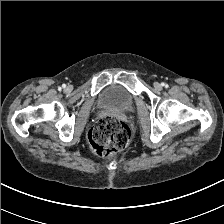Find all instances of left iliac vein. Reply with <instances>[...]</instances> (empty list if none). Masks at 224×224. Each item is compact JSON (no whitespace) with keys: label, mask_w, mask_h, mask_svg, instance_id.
I'll list each match as a JSON object with an SVG mask.
<instances>
[{"label":"left iliac vein","mask_w":224,"mask_h":224,"mask_svg":"<svg viewBox=\"0 0 224 224\" xmlns=\"http://www.w3.org/2000/svg\"><path fill=\"white\" fill-rule=\"evenodd\" d=\"M154 88H155L157 91H160V90H162V85H161L160 83H158V82H155V83H154Z\"/></svg>","instance_id":"left-iliac-vein-1"}]
</instances>
